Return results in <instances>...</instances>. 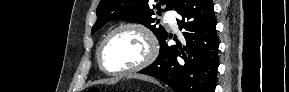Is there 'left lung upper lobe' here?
I'll return each instance as SVG.
<instances>
[{
    "label": "left lung upper lobe",
    "mask_w": 289,
    "mask_h": 92,
    "mask_svg": "<svg viewBox=\"0 0 289 92\" xmlns=\"http://www.w3.org/2000/svg\"><path fill=\"white\" fill-rule=\"evenodd\" d=\"M154 1L159 11H161L160 6L162 3L166 4V9L163 10L166 11L173 9L178 2V0ZM150 2L149 0H101L97 7V21L92 27L91 33H95L108 21L123 20L145 25L156 35L161 43L168 33L163 26L154 24L156 19L152 18L154 12L149 8Z\"/></svg>",
    "instance_id": "5c2ea615"
}]
</instances>
